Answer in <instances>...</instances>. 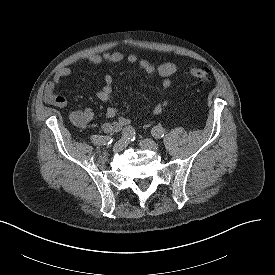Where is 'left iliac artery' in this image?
I'll use <instances>...</instances> for the list:
<instances>
[{
	"label": "left iliac artery",
	"mask_w": 275,
	"mask_h": 275,
	"mask_svg": "<svg viewBox=\"0 0 275 275\" xmlns=\"http://www.w3.org/2000/svg\"><path fill=\"white\" fill-rule=\"evenodd\" d=\"M151 134L156 139L162 138L165 135V129L160 126H156L152 129Z\"/></svg>",
	"instance_id": "left-iliac-artery-1"
}]
</instances>
